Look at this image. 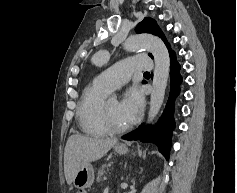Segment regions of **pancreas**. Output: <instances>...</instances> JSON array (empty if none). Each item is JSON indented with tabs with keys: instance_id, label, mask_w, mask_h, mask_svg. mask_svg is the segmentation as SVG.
<instances>
[{
	"instance_id": "obj_1",
	"label": "pancreas",
	"mask_w": 237,
	"mask_h": 193,
	"mask_svg": "<svg viewBox=\"0 0 237 193\" xmlns=\"http://www.w3.org/2000/svg\"><path fill=\"white\" fill-rule=\"evenodd\" d=\"M108 165L104 164L102 167L98 170V175H97V181H101L102 177L106 174V168Z\"/></svg>"
}]
</instances>
